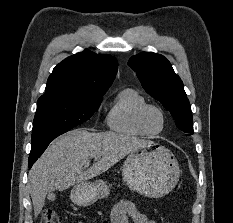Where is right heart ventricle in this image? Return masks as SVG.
Returning <instances> with one entry per match:
<instances>
[{
    "instance_id": "right-heart-ventricle-1",
    "label": "right heart ventricle",
    "mask_w": 233,
    "mask_h": 223,
    "mask_svg": "<svg viewBox=\"0 0 233 223\" xmlns=\"http://www.w3.org/2000/svg\"><path fill=\"white\" fill-rule=\"evenodd\" d=\"M144 104L146 99L138 89L131 86L121 88L106 111L107 128L124 136L144 137L137 124V113Z\"/></svg>"
}]
</instances>
